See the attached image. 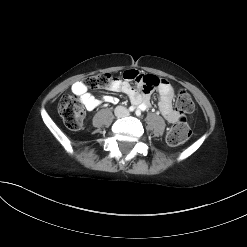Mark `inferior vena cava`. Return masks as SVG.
Listing matches in <instances>:
<instances>
[{
	"label": "inferior vena cava",
	"mask_w": 247,
	"mask_h": 247,
	"mask_svg": "<svg viewBox=\"0 0 247 247\" xmlns=\"http://www.w3.org/2000/svg\"><path fill=\"white\" fill-rule=\"evenodd\" d=\"M129 114V111L127 108L123 107V106H118L115 108V115L117 117H125Z\"/></svg>",
	"instance_id": "obj_1"
}]
</instances>
